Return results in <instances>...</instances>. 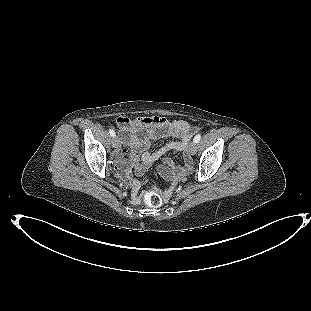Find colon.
Here are the masks:
<instances>
[{
	"label": "colon",
	"instance_id": "1",
	"mask_svg": "<svg viewBox=\"0 0 311 311\" xmlns=\"http://www.w3.org/2000/svg\"><path fill=\"white\" fill-rule=\"evenodd\" d=\"M144 202L151 207H158L162 204V196L155 190H148L143 196Z\"/></svg>",
	"mask_w": 311,
	"mask_h": 311
}]
</instances>
